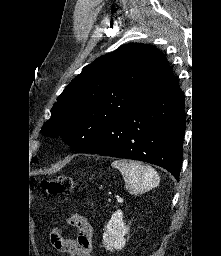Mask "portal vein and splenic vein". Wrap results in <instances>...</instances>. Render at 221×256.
<instances>
[{
  "instance_id": "obj_1",
  "label": "portal vein and splenic vein",
  "mask_w": 221,
  "mask_h": 256,
  "mask_svg": "<svg viewBox=\"0 0 221 256\" xmlns=\"http://www.w3.org/2000/svg\"><path fill=\"white\" fill-rule=\"evenodd\" d=\"M117 201H118V202H122L123 199H122L121 197L117 196Z\"/></svg>"
}]
</instances>
